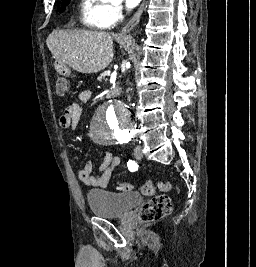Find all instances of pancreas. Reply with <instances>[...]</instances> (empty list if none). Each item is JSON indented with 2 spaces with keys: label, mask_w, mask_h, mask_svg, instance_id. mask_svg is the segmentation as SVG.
<instances>
[{
  "label": "pancreas",
  "mask_w": 256,
  "mask_h": 267,
  "mask_svg": "<svg viewBox=\"0 0 256 267\" xmlns=\"http://www.w3.org/2000/svg\"><path fill=\"white\" fill-rule=\"evenodd\" d=\"M103 78H105V74H101L100 80H103ZM112 94H116V96H120L121 88H119V92H118V90H115V92H112Z\"/></svg>",
  "instance_id": "pancreas-1"
}]
</instances>
